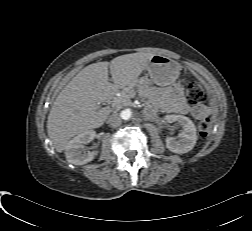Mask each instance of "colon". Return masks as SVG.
<instances>
[{"label": "colon", "instance_id": "5ec220e1", "mask_svg": "<svg viewBox=\"0 0 252 231\" xmlns=\"http://www.w3.org/2000/svg\"><path fill=\"white\" fill-rule=\"evenodd\" d=\"M186 99L191 105H198L205 101L203 89L197 84H190L186 89ZM198 130L202 136H206L211 130V120L206 117L198 121Z\"/></svg>", "mask_w": 252, "mask_h": 231}]
</instances>
